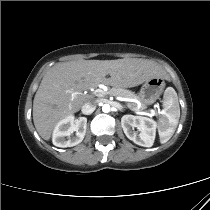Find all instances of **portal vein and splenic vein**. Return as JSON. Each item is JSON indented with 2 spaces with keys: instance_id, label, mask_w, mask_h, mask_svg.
I'll return each instance as SVG.
<instances>
[{
  "instance_id": "1",
  "label": "portal vein and splenic vein",
  "mask_w": 210,
  "mask_h": 210,
  "mask_svg": "<svg viewBox=\"0 0 210 210\" xmlns=\"http://www.w3.org/2000/svg\"><path fill=\"white\" fill-rule=\"evenodd\" d=\"M94 94L98 97H102L104 96L105 94H107V92H105L104 90L102 89H97L95 90ZM123 101H130L129 99L127 98H123ZM127 107L133 111H138L135 107H133L130 103L127 104ZM142 115H153L154 114V110H151L150 113H147V112H140ZM162 113V111H161Z\"/></svg>"
}]
</instances>
